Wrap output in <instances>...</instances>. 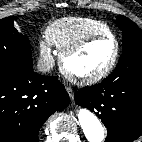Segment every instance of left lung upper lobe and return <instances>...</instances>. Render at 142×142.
<instances>
[{
    "mask_svg": "<svg viewBox=\"0 0 142 142\" xmlns=\"http://www.w3.org/2000/svg\"><path fill=\"white\" fill-rule=\"evenodd\" d=\"M116 22L123 34V53L115 70L106 79L142 76V30L121 15H118Z\"/></svg>",
    "mask_w": 142,
    "mask_h": 142,
    "instance_id": "5c2ea615",
    "label": "left lung upper lobe"
}]
</instances>
